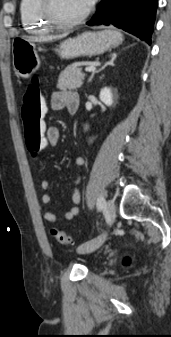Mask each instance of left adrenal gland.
<instances>
[{
	"label": "left adrenal gland",
	"mask_w": 171,
	"mask_h": 337,
	"mask_svg": "<svg viewBox=\"0 0 171 337\" xmlns=\"http://www.w3.org/2000/svg\"><path fill=\"white\" fill-rule=\"evenodd\" d=\"M116 56H117L116 54H113L110 61H108L107 63H105V64H104L100 69H98L97 71L93 72L92 75H91L90 78H89V82L92 81V79H93L95 73H99L100 71H102L103 69H105V67H107L108 65L113 66V65H114V61H115V59H116Z\"/></svg>",
	"instance_id": "1"
}]
</instances>
